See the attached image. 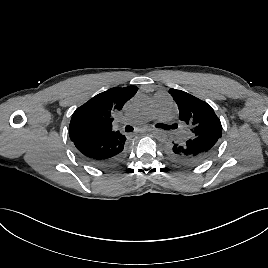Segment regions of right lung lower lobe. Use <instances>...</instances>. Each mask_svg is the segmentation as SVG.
I'll list each match as a JSON object with an SVG mask.
<instances>
[{
  "label": "right lung lower lobe",
  "mask_w": 268,
  "mask_h": 268,
  "mask_svg": "<svg viewBox=\"0 0 268 268\" xmlns=\"http://www.w3.org/2000/svg\"><path fill=\"white\" fill-rule=\"evenodd\" d=\"M126 137L119 131L107 136L74 140L78 156L89 164L107 168L123 156Z\"/></svg>",
  "instance_id": "1"
}]
</instances>
